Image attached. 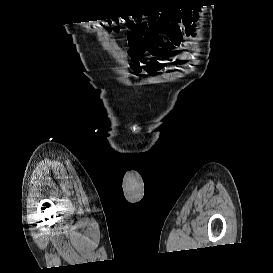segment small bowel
I'll return each instance as SVG.
<instances>
[{"label": "small bowel", "instance_id": "c3829d8e", "mask_svg": "<svg viewBox=\"0 0 273 273\" xmlns=\"http://www.w3.org/2000/svg\"><path fill=\"white\" fill-rule=\"evenodd\" d=\"M196 22V13L170 14L147 22L150 26L149 35L135 44L128 40L127 52L131 73L136 77L144 73L157 75L162 65L155 58L184 65L186 63L184 37L195 35ZM145 53H150L153 58L143 61L141 57Z\"/></svg>", "mask_w": 273, "mask_h": 273}]
</instances>
